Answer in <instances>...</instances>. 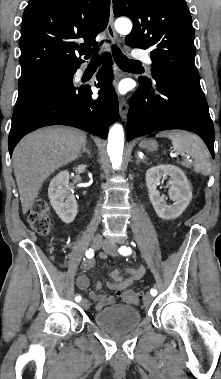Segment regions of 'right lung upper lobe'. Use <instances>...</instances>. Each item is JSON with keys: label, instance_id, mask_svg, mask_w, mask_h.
<instances>
[{"label": "right lung upper lobe", "instance_id": "1", "mask_svg": "<svg viewBox=\"0 0 221 379\" xmlns=\"http://www.w3.org/2000/svg\"><path fill=\"white\" fill-rule=\"evenodd\" d=\"M110 0H29L19 46V82L55 69H75L90 55L109 20ZM83 40L77 44L76 40Z\"/></svg>", "mask_w": 221, "mask_h": 379}]
</instances>
